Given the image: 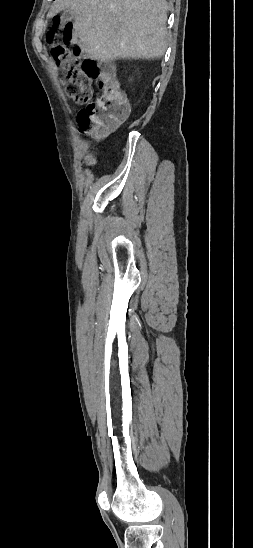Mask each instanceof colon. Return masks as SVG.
I'll use <instances>...</instances> for the list:
<instances>
[{"label":"colon","instance_id":"obj_1","mask_svg":"<svg viewBox=\"0 0 253 548\" xmlns=\"http://www.w3.org/2000/svg\"><path fill=\"white\" fill-rule=\"evenodd\" d=\"M50 50L56 64L64 70L66 94L84 105L78 114L82 130L104 134L127 118V99L109 66L101 68L96 60L82 57L78 48L70 49L62 43H53Z\"/></svg>","mask_w":253,"mask_h":548}]
</instances>
